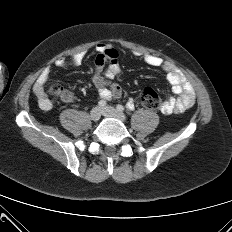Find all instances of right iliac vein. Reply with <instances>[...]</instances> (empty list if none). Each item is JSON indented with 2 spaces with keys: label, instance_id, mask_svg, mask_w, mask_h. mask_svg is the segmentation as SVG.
<instances>
[{
  "label": "right iliac vein",
  "instance_id": "63e3f726",
  "mask_svg": "<svg viewBox=\"0 0 232 232\" xmlns=\"http://www.w3.org/2000/svg\"><path fill=\"white\" fill-rule=\"evenodd\" d=\"M101 109L100 107H94L90 112V118L93 121H98L101 117Z\"/></svg>",
  "mask_w": 232,
  "mask_h": 232
}]
</instances>
